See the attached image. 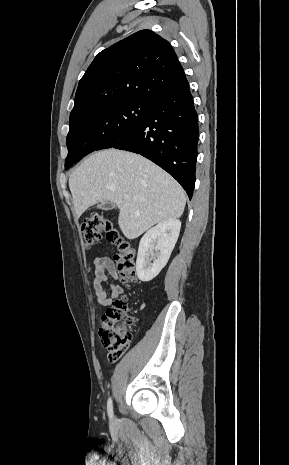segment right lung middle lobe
Returning <instances> with one entry per match:
<instances>
[{"instance_id":"dd1d6c3e","label":"right lung middle lobe","mask_w":289,"mask_h":465,"mask_svg":"<svg viewBox=\"0 0 289 465\" xmlns=\"http://www.w3.org/2000/svg\"><path fill=\"white\" fill-rule=\"evenodd\" d=\"M150 109L148 100L119 101L90 108L87 116L69 129L65 168L69 169L95 150L111 148L124 139L146 120Z\"/></svg>"}]
</instances>
